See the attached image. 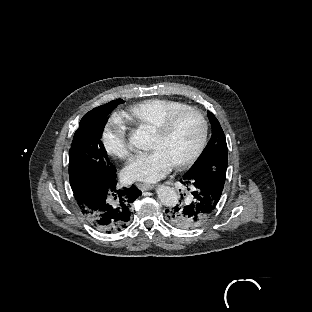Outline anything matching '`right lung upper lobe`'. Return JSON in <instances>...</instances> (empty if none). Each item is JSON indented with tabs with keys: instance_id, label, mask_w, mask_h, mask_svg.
<instances>
[{
	"instance_id": "1",
	"label": "right lung upper lobe",
	"mask_w": 312,
	"mask_h": 312,
	"mask_svg": "<svg viewBox=\"0 0 312 312\" xmlns=\"http://www.w3.org/2000/svg\"><path fill=\"white\" fill-rule=\"evenodd\" d=\"M123 101L121 99H117V100H113L103 106H99L97 108H95L96 110L100 111V112H105L107 111L110 107L112 106H117L118 104L122 103ZM94 110V109H93Z\"/></svg>"
}]
</instances>
